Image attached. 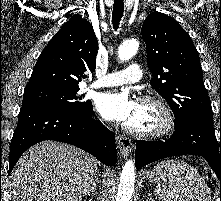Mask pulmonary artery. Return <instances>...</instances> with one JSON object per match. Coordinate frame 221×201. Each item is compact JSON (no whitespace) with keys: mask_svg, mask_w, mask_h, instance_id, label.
<instances>
[{"mask_svg":"<svg viewBox=\"0 0 221 201\" xmlns=\"http://www.w3.org/2000/svg\"><path fill=\"white\" fill-rule=\"evenodd\" d=\"M142 78V70L138 64H131L125 70L109 73L89 85L90 88L118 86L136 83Z\"/></svg>","mask_w":221,"mask_h":201,"instance_id":"1","label":"pulmonary artery"}]
</instances>
